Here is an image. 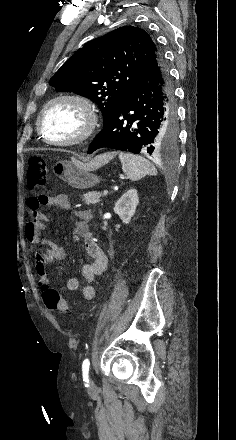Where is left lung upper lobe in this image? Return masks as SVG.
Instances as JSON below:
<instances>
[{
  "mask_svg": "<svg viewBox=\"0 0 236 440\" xmlns=\"http://www.w3.org/2000/svg\"><path fill=\"white\" fill-rule=\"evenodd\" d=\"M157 55L161 52L145 30L120 27L87 42L61 66L49 85L94 101L106 124Z\"/></svg>",
  "mask_w": 236,
  "mask_h": 440,
  "instance_id": "5c2ea615",
  "label": "left lung upper lobe"
}]
</instances>
